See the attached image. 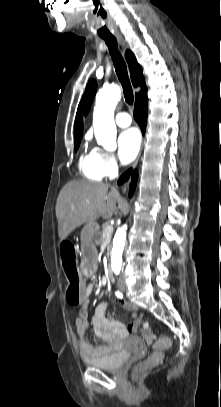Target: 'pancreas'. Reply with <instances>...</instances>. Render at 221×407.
<instances>
[{"label":"pancreas","instance_id":"cf45deb5","mask_svg":"<svg viewBox=\"0 0 221 407\" xmlns=\"http://www.w3.org/2000/svg\"><path fill=\"white\" fill-rule=\"evenodd\" d=\"M106 227V226H105ZM104 231V230H103ZM103 231H101V232H99L98 233V237H97V239L95 240V243L97 244V245H101L102 244V242H103Z\"/></svg>","mask_w":221,"mask_h":407}]
</instances>
